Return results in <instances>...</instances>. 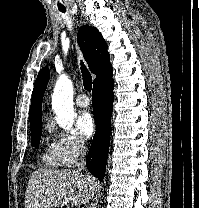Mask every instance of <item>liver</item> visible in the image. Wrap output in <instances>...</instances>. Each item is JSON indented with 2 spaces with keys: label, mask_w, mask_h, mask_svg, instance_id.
<instances>
[{
  "label": "liver",
  "mask_w": 199,
  "mask_h": 208,
  "mask_svg": "<svg viewBox=\"0 0 199 208\" xmlns=\"http://www.w3.org/2000/svg\"><path fill=\"white\" fill-rule=\"evenodd\" d=\"M98 187L95 177L77 170L37 169L27 185L25 208H57L69 203L81 206Z\"/></svg>",
  "instance_id": "6515ba94"
}]
</instances>
